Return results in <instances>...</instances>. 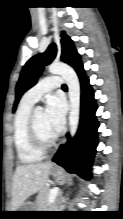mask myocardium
<instances>
[{
    "label": "myocardium",
    "instance_id": "obj_1",
    "mask_svg": "<svg viewBox=\"0 0 123 219\" xmlns=\"http://www.w3.org/2000/svg\"><path fill=\"white\" fill-rule=\"evenodd\" d=\"M29 132L33 146L41 153H44L53 148L58 141L57 135L50 141H45L41 138L36 126L35 112H32L29 118Z\"/></svg>",
    "mask_w": 123,
    "mask_h": 219
}]
</instances>
